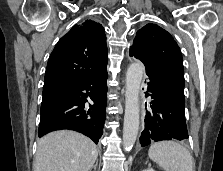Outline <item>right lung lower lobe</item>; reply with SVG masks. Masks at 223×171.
<instances>
[{
	"label": "right lung lower lobe",
	"instance_id": "right-lung-lower-lobe-1",
	"mask_svg": "<svg viewBox=\"0 0 223 171\" xmlns=\"http://www.w3.org/2000/svg\"><path fill=\"white\" fill-rule=\"evenodd\" d=\"M106 68L89 79L43 93L38 136L60 129L83 133L98 143L103 134L107 104ZM92 100L89 109L87 100Z\"/></svg>",
	"mask_w": 223,
	"mask_h": 171
}]
</instances>
